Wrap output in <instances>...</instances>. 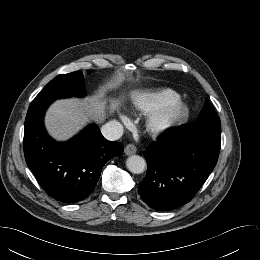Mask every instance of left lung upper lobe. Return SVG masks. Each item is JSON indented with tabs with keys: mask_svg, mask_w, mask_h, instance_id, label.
<instances>
[{
	"mask_svg": "<svg viewBox=\"0 0 260 260\" xmlns=\"http://www.w3.org/2000/svg\"><path fill=\"white\" fill-rule=\"evenodd\" d=\"M178 129H186V131L197 134H207L216 137H221V122L216 114L212 104L206 99L205 106L201 111L198 120L194 123H187L180 126ZM177 129L170 130L171 132Z\"/></svg>",
	"mask_w": 260,
	"mask_h": 260,
	"instance_id": "obj_1",
	"label": "left lung upper lobe"
}]
</instances>
